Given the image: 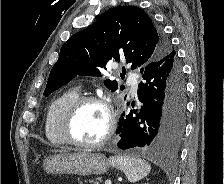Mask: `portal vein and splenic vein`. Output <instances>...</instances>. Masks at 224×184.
Returning a JSON list of instances; mask_svg holds the SVG:
<instances>
[{"instance_id": "18ae733b", "label": "portal vein and splenic vein", "mask_w": 224, "mask_h": 184, "mask_svg": "<svg viewBox=\"0 0 224 184\" xmlns=\"http://www.w3.org/2000/svg\"><path fill=\"white\" fill-rule=\"evenodd\" d=\"M105 184H112L110 180H106Z\"/></svg>"}]
</instances>
